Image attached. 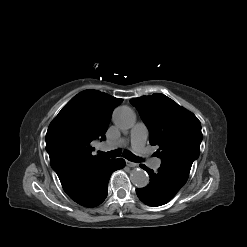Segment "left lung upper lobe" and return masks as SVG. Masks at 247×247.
<instances>
[{
  "label": "left lung upper lobe",
  "mask_w": 247,
  "mask_h": 247,
  "mask_svg": "<svg viewBox=\"0 0 247 247\" xmlns=\"http://www.w3.org/2000/svg\"><path fill=\"white\" fill-rule=\"evenodd\" d=\"M131 103L150 131V144L159 147L161 168L186 183L192 163L200 153V121L164 94L142 96L131 99Z\"/></svg>",
  "instance_id": "5c2ea615"
}]
</instances>
